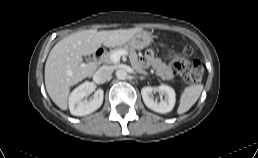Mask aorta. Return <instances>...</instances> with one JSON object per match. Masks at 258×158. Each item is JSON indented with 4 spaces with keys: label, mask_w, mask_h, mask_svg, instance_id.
<instances>
[{
    "label": "aorta",
    "mask_w": 258,
    "mask_h": 158,
    "mask_svg": "<svg viewBox=\"0 0 258 158\" xmlns=\"http://www.w3.org/2000/svg\"><path fill=\"white\" fill-rule=\"evenodd\" d=\"M116 77L119 80H125L127 78V72L124 69H118L116 71Z\"/></svg>",
    "instance_id": "obj_1"
}]
</instances>
